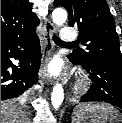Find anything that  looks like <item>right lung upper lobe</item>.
Here are the masks:
<instances>
[{
  "label": "right lung upper lobe",
  "mask_w": 122,
  "mask_h": 123,
  "mask_svg": "<svg viewBox=\"0 0 122 123\" xmlns=\"http://www.w3.org/2000/svg\"><path fill=\"white\" fill-rule=\"evenodd\" d=\"M39 23L29 0H1V38L30 37Z\"/></svg>",
  "instance_id": "cb5924a9"
}]
</instances>
